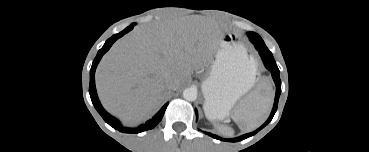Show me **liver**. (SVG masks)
I'll list each match as a JSON object with an SVG mask.
<instances>
[{
    "label": "liver",
    "instance_id": "liver-1",
    "mask_svg": "<svg viewBox=\"0 0 369 152\" xmlns=\"http://www.w3.org/2000/svg\"><path fill=\"white\" fill-rule=\"evenodd\" d=\"M224 32L210 20L176 19L135 28L118 40L96 70L101 103L127 124L149 118L166 99L167 80L176 89L204 65Z\"/></svg>",
    "mask_w": 369,
    "mask_h": 152
}]
</instances>
